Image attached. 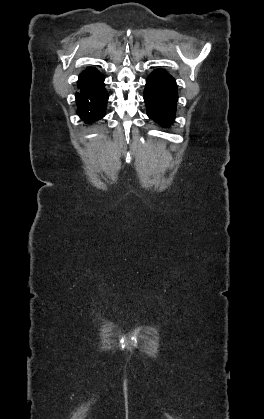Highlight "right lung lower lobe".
<instances>
[{"label": "right lung lower lobe", "instance_id": "obj_1", "mask_svg": "<svg viewBox=\"0 0 264 419\" xmlns=\"http://www.w3.org/2000/svg\"><path fill=\"white\" fill-rule=\"evenodd\" d=\"M79 92L76 93L78 115L85 122H94L105 116L108 93L104 88V76L99 74L88 81H78Z\"/></svg>", "mask_w": 264, "mask_h": 419}]
</instances>
